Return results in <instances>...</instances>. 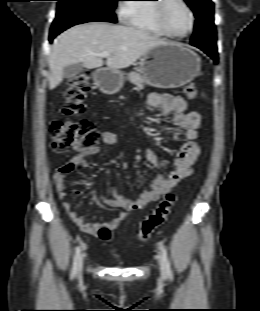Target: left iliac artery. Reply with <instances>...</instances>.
Wrapping results in <instances>:
<instances>
[{
    "label": "left iliac artery",
    "mask_w": 260,
    "mask_h": 311,
    "mask_svg": "<svg viewBox=\"0 0 260 311\" xmlns=\"http://www.w3.org/2000/svg\"><path fill=\"white\" fill-rule=\"evenodd\" d=\"M160 249H161L162 257H163V260H164L165 266H166V274L170 279H172L173 273H172L171 265H170V262L168 259L167 250L163 245L160 246Z\"/></svg>",
    "instance_id": "left-iliac-artery-1"
}]
</instances>
